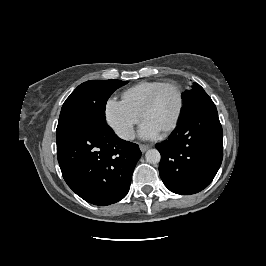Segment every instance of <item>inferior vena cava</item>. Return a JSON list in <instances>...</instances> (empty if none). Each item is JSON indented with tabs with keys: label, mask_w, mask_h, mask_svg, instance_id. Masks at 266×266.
Instances as JSON below:
<instances>
[{
	"label": "inferior vena cava",
	"mask_w": 266,
	"mask_h": 266,
	"mask_svg": "<svg viewBox=\"0 0 266 266\" xmlns=\"http://www.w3.org/2000/svg\"><path fill=\"white\" fill-rule=\"evenodd\" d=\"M119 137L126 140H132L135 138L133 128H126L119 133Z\"/></svg>",
	"instance_id": "obj_1"
}]
</instances>
